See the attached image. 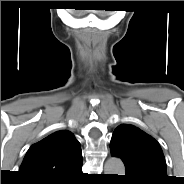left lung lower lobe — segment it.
I'll use <instances>...</instances> for the list:
<instances>
[{"label":"left lung lower lobe","mask_w":184,"mask_h":184,"mask_svg":"<svg viewBox=\"0 0 184 184\" xmlns=\"http://www.w3.org/2000/svg\"><path fill=\"white\" fill-rule=\"evenodd\" d=\"M130 184H140V183H138V182H135V181H133V180H130V179H127V178H125Z\"/></svg>","instance_id":"left-lung-lower-lobe-1"}]
</instances>
